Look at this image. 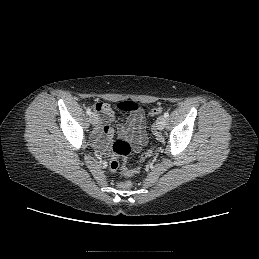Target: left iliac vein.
<instances>
[{
	"label": "left iliac vein",
	"instance_id": "4c4485c4",
	"mask_svg": "<svg viewBox=\"0 0 259 259\" xmlns=\"http://www.w3.org/2000/svg\"><path fill=\"white\" fill-rule=\"evenodd\" d=\"M166 125V118L164 116H159L156 120V127L158 130L164 129Z\"/></svg>",
	"mask_w": 259,
	"mask_h": 259
}]
</instances>
